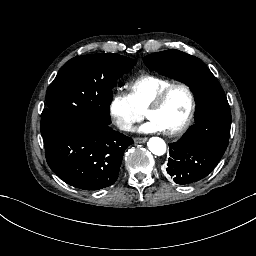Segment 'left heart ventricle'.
I'll return each instance as SVG.
<instances>
[{
    "label": "left heart ventricle",
    "mask_w": 256,
    "mask_h": 256,
    "mask_svg": "<svg viewBox=\"0 0 256 256\" xmlns=\"http://www.w3.org/2000/svg\"><path fill=\"white\" fill-rule=\"evenodd\" d=\"M189 107L190 100L186 91L179 86H174L164 104L153 110L151 115L161 119L170 132L185 119Z\"/></svg>",
    "instance_id": "left-heart-ventricle-1"
}]
</instances>
